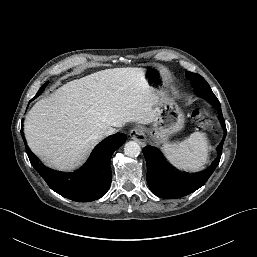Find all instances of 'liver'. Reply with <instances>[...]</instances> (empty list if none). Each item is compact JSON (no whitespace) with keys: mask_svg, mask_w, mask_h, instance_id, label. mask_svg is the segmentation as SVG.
<instances>
[{"mask_svg":"<svg viewBox=\"0 0 257 257\" xmlns=\"http://www.w3.org/2000/svg\"><path fill=\"white\" fill-rule=\"evenodd\" d=\"M162 95L141 68L106 69L70 81L28 112L27 145L47 164L72 169L108 128L153 123Z\"/></svg>","mask_w":257,"mask_h":257,"instance_id":"obj_1","label":"liver"}]
</instances>
